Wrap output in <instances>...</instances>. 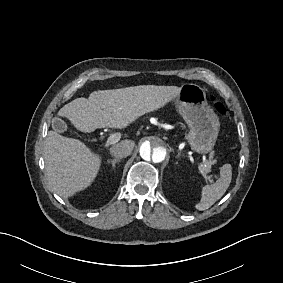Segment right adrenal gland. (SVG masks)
Wrapping results in <instances>:
<instances>
[{
	"mask_svg": "<svg viewBox=\"0 0 283 283\" xmlns=\"http://www.w3.org/2000/svg\"><path fill=\"white\" fill-rule=\"evenodd\" d=\"M120 161V159H115L114 161H108L107 164H111V167L114 168L115 164L119 163Z\"/></svg>",
	"mask_w": 283,
	"mask_h": 283,
	"instance_id": "2a0ac1e0",
	"label": "right adrenal gland"
}]
</instances>
